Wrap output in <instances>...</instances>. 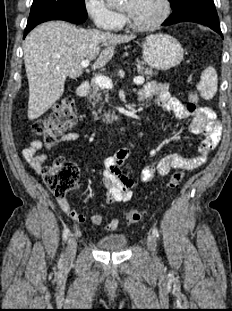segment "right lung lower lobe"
<instances>
[{"label": "right lung lower lobe", "mask_w": 232, "mask_h": 311, "mask_svg": "<svg viewBox=\"0 0 232 311\" xmlns=\"http://www.w3.org/2000/svg\"><path fill=\"white\" fill-rule=\"evenodd\" d=\"M49 20H65L73 23H83L86 18L65 10H46L32 14L29 16L24 38L36 25Z\"/></svg>", "instance_id": "98d812e1"}]
</instances>
